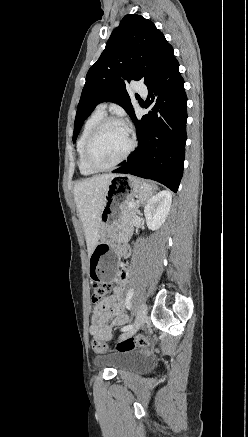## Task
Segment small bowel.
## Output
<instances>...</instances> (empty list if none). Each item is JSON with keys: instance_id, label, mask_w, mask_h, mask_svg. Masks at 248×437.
I'll list each match as a JSON object with an SVG mask.
<instances>
[{"instance_id": "c3829d8e", "label": "small bowel", "mask_w": 248, "mask_h": 437, "mask_svg": "<svg viewBox=\"0 0 248 437\" xmlns=\"http://www.w3.org/2000/svg\"><path fill=\"white\" fill-rule=\"evenodd\" d=\"M129 277V270L123 268L113 294L94 306L89 333L96 339L108 341L113 336V328L126 323L123 293Z\"/></svg>"}]
</instances>
